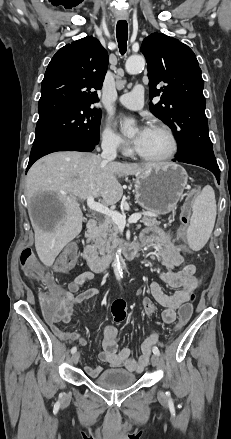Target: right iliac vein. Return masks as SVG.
I'll list each match as a JSON object with an SVG mask.
<instances>
[{"label": "right iliac vein", "instance_id": "63e3f726", "mask_svg": "<svg viewBox=\"0 0 231 439\" xmlns=\"http://www.w3.org/2000/svg\"><path fill=\"white\" fill-rule=\"evenodd\" d=\"M79 358H80V353L79 352H75L72 355V363L76 365L78 363V361H79Z\"/></svg>", "mask_w": 231, "mask_h": 439}]
</instances>
